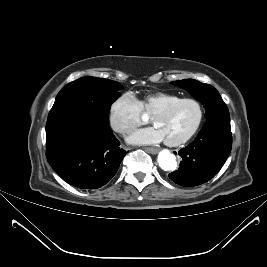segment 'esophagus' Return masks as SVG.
<instances>
[{"label":"esophagus","instance_id":"esophagus-1","mask_svg":"<svg viewBox=\"0 0 267 267\" xmlns=\"http://www.w3.org/2000/svg\"><path fill=\"white\" fill-rule=\"evenodd\" d=\"M145 150L151 154H157L159 152L158 148L146 147Z\"/></svg>","mask_w":267,"mask_h":267}]
</instances>
